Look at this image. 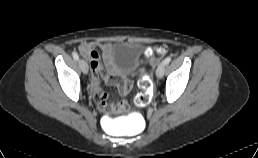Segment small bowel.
<instances>
[{
    "instance_id": "obj_1",
    "label": "small bowel",
    "mask_w": 258,
    "mask_h": 158,
    "mask_svg": "<svg viewBox=\"0 0 258 158\" xmlns=\"http://www.w3.org/2000/svg\"><path fill=\"white\" fill-rule=\"evenodd\" d=\"M79 52L89 62L92 71L89 90L100 109H104L108 104V94L99 88L101 80H104L108 85L116 86L121 95H126L130 91L132 81L127 72H121L115 67L111 57V43L82 42L79 45Z\"/></svg>"
}]
</instances>
